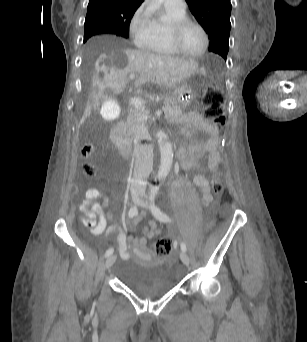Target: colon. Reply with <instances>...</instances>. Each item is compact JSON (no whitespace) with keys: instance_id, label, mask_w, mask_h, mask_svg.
<instances>
[{"instance_id":"5ec220e1","label":"colon","mask_w":307,"mask_h":342,"mask_svg":"<svg viewBox=\"0 0 307 342\" xmlns=\"http://www.w3.org/2000/svg\"><path fill=\"white\" fill-rule=\"evenodd\" d=\"M225 87H208L205 90L203 99L204 113L209 121L222 128L226 125L227 119L223 111ZM84 157L90 158L94 154V147L91 144H85L81 150ZM83 173L88 177L95 174V165L92 162H86L82 166ZM211 184L215 192L223 191V182L220 169L217 166H211ZM155 254L158 257H168L172 251V243L167 237H161L154 247Z\"/></svg>"}]
</instances>
